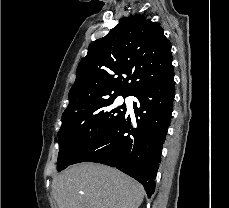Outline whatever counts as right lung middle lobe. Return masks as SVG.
Instances as JSON below:
<instances>
[{"label": "right lung middle lobe", "mask_w": 229, "mask_h": 208, "mask_svg": "<svg viewBox=\"0 0 229 208\" xmlns=\"http://www.w3.org/2000/svg\"><path fill=\"white\" fill-rule=\"evenodd\" d=\"M116 98L117 96L99 100L62 118V125L58 133V171L71 165L84 149L120 121L126 108L125 104L115 107Z\"/></svg>", "instance_id": "right-lung-middle-lobe-1"}]
</instances>
